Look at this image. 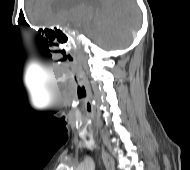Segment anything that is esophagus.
<instances>
[{"label": "esophagus", "mask_w": 190, "mask_h": 170, "mask_svg": "<svg viewBox=\"0 0 190 170\" xmlns=\"http://www.w3.org/2000/svg\"><path fill=\"white\" fill-rule=\"evenodd\" d=\"M103 160L106 170H115V161L108 153L103 154Z\"/></svg>", "instance_id": "esophagus-1"}]
</instances>
